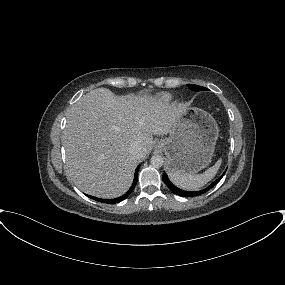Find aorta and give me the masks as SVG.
Here are the masks:
<instances>
[{"instance_id":"1","label":"aorta","mask_w":285,"mask_h":285,"mask_svg":"<svg viewBox=\"0 0 285 285\" xmlns=\"http://www.w3.org/2000/svg\"><path fill=\"white\" fill-rule=\"evenodd\" d=\"M150 163L153 167H161L164 163V159L160 155H153L150 159Z\"/></svg>"}]
</instances>
